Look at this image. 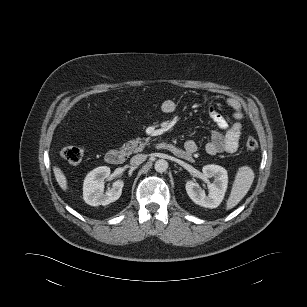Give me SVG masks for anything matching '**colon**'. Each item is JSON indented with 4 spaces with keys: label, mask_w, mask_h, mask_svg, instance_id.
<instances>
[{
    "label": "colon",
    "mask_w": 307,
    "mask_h": 307,
    "mask_svg": "<svg viewBox=\"0 0 307 307\" xmlns=\"http://www.w3.org/2000/svg\"><path fill=\"white\" fill-rule=\"evenodd\" d=\"M258 148V142L254 137H249L245 142L247 152H254ZM83 150L78 146H67L61 151V156L70 164H78L83 158Z\"/></svg>",
    "instance_id": "obj_1"
}]
</instances>
